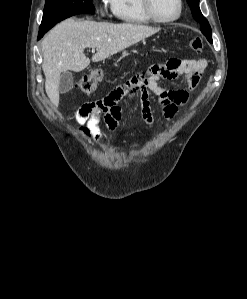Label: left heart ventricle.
<instances>
[{
    "label": "left heart ventricle",
    "instance_id": "left-heart-ventricle-1",
    "mask_svg": "<svg viewBox=\"0 0 247 299\" xmlns=\"http://www.w3.org/2000/svg\"><path fill=\"white\" fill-rule=\"evenodd\" d=\"M156 15L162 19L172 18L178 10L177 0H152Z\"/></svg>",
    "mask_w": 247,
    "mask_h": 299
}]
</instances>
